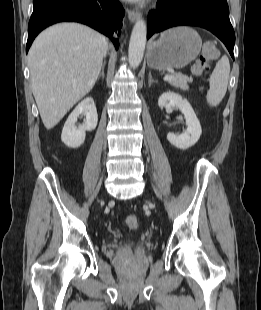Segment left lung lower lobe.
<instances>
[{
  "label": "left lung lower lobe",
  "mask_w": 261,
  "mask_h": 310,
  "mask_svg": "<svg viewBox=\"0 0 261 310\" xmlns=\"http://www.w3.org/2000/svg\"><path fill=\"white\" fill-rule=\"evenodd\" d=\"M180 25L203 27L215 34L234 59L235 34L226 0H158L148 15L147 39Z\"/></svg>",
  "instance_id": "1"
}]
</instances>
